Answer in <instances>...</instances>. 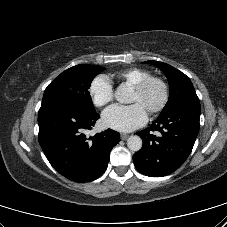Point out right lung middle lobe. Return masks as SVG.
<instances>
[{"mask_svg": "<svg viewBox=\"0 0 227 227\" xmlns=\"http://www.w3.org/2000/svg\"><path fill=\"white\" fill-rule=\"evenodd\" d=\"M103 67L80 64L62 72L46 88L41 107L65 103L86 112H96L90 92L92 80Z\"/></svg>", "mask_w": 227, "mask_h": 227, "instance_id": "1", "label": "right lung middle lobe"}]
</instances>
